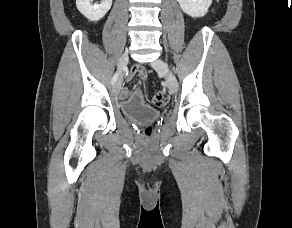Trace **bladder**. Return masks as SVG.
I'll use <instances>...</instances> for the list:
<instances>
[{"label":"bladder","instance_id":"obj_1","mask_svg":"<svg viewBox=\"0 0 292 228\" xmlns=\"http://www.w3.org/2000/svg\"><path fill=\"white\" fill-rule=\"evenodd\" d=\"M123 115L137 122H148L156 119L159 112L145 104L126 102L122 105Z\"/></svg>","mask_w":292,"mask_h":228}]
</instances>
